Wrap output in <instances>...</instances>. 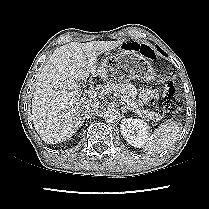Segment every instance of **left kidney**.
Masks as SVG:
<instances>
[{"label": "left kidney", "mask_w": 209, "mask_h": 209, "mask_svg": "<svg viewBox=\"0 0 209 209\" xmlns=\"http://www.w3.org/2000/svg\"><path fill=\"white\" fill-rule=\"evenodd\" d=\"M123 138L132 146L143 148L150 140L147 123L137 118H126L120 124Z\"/></svg>", "instance_id": "1"}]
</instances>
